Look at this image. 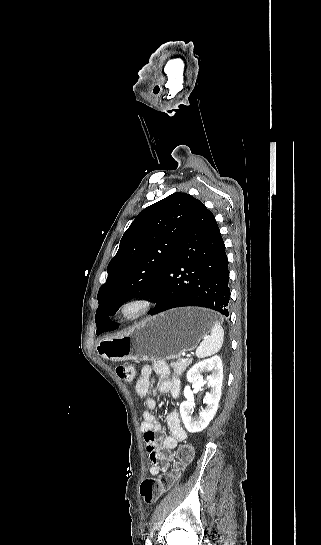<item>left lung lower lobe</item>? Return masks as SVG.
I'll use <instances>...</instances> for the list:
<instances>
[{
	"label": "left lung lower lobe",
	"instance_id": "0a47b994",
	"mask_svg": "<svg viewBox=\"0 0 321 545\" xmlns=\"http://www.w3.org/2000/svg\"><path fill=\"white\" fill-rule=\"evenodd\" d=\"M228 282L224 241L214 215L200 202L180 237L156 294L151 298L156 301V306L149 314L176 307L200 306L229 316ZM118 327L117 323L108 321L104 332Z\"/></svg>",
	"mask_w": 321,
	"mask_h": 545
}]
</instances>
